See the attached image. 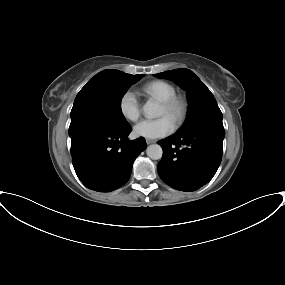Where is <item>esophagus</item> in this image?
I'll return each instance as SVG.
<instances>
[{
	"label": "esophagus",
	"mask_w": 285,
	"mask_h": 285,
	"mask_svg": "<svg viewBox=\"0 0 285 285\" xmlns=\"http://www.w3.org/2000/svg\"><path fill=\"white\" fill-rule=\"evenodd\" d=\"M156 141L155 140H152V139H146V143L147 144H152V143H155Z\"/></svg>",
	"instance_id": "obj_1"
}]
</instances>
